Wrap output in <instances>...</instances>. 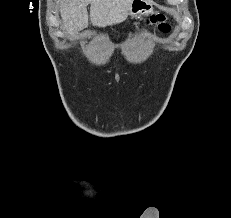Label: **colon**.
I'll use <instances>...</instances> for the list:
<instances>
[{
  "mask_svg": "<svg viewBox=\"0 0 231 218\" xmlns=\"http://www.w3.org/2000/svg\"><path fill=\"white\" fill-rule=\"evenodd\" d=\"M147 24L153 26L156 30L162 33H168L170 31V25L166 22V18L163 14L151 16L148 19Z\"/></svg>",
  "mask_w": 231,
  "mask_h": 218,
  "instance_id": "obj_1",
  "label": "colon"
}]
</instances>
